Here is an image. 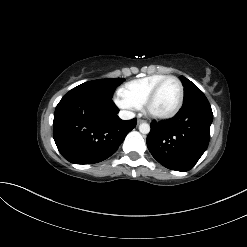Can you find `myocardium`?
I'll use <instances>...</instances> for the list:
<instances>
[{
    "mask_svg": "<svg viewBox=\"0 0 247 247\" xmlns=\"http://www.w3.org/2000/svg\"><path fill=\"white\" fill-rule=\"evenodd\" d=\"M175 80L177 82V84L179 85V100L178 103L176 105V107L169 113L167 114H155L152 113L150 111V105L153 102V100L155 99L157 93L159 92L160 88L163 86V84L168 81V80ZM184 103V86L181 82V80L173 75H167L166 77H164L162 80H160L155 86L154 88L150 91V93L148 94V96L146 97L144 104H143V110L144 112L150 116L153 119L156 120H168L173 118L174 116H176L179 111L181 110L182 106Z\"/></svg>",
    "mask_w": 247,
    "mask_h": 247,
    "instance_id": "1",
    "label": "myocardium"
}]
</instances>
